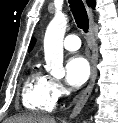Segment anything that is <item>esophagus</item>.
Returning <instances> with one entry per match:
<instances>
[{"label":"esophagus","instance_id":"1","mask_svg":"<svg viewBox=\"0 0 118 123\" xmlns=\"http://www.w3.org/2000/svg\"><path fill=\"white\" fill-rule=\"evenodd\" d=\"M88 14H89V19H90V36L93 37V22H94V18H93V13L92 11L88 8ZM97 60H98V54H97V50L95 47H93L92 49V58H91V76H90V80L89 83L87 85V87L78 95L77 97V101L75 104V107L71 113L70 118L73 119L75 118L80 111L83 109L84 105L86 104L92 90L95 84V80L97 77Z\"/></svg>","mask_w":118,"mask_h":123}]
</instances>
